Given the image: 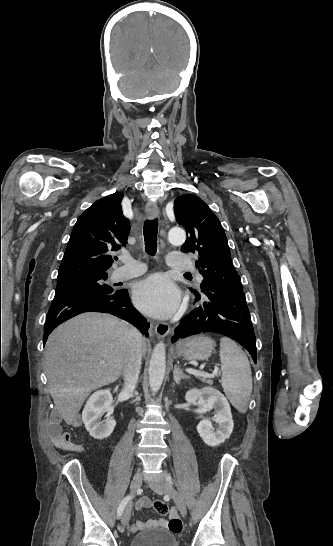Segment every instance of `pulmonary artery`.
<instances>
[{
  "label": "pulmonary artery",
  "mask_w": 333,
  "mask_h": 546,
  "mask_svg": "<svg viewBox=\"0 0 333 546\" xmlns=\"http://www.w3.org/2000/svg\"><path fill=\"white\" fill-rule=\"evenodd\" d=\"M122 261L124 265L114 269L112 272L111 277L115 281L136 277L146 270L144 264L131 257H123ZM167 263L169 267L176 270H189L192 267V261L188 256L176 252L168 255Z\"/></svg>",
  "instance_id": "e3ab8cb5"
}]
</instances>
